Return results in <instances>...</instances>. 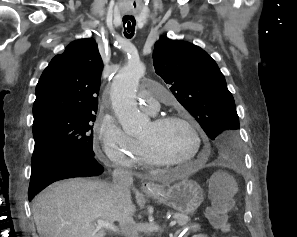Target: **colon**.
<instances>
[{
	"mask_svg": "<svg viewBox=\"0 0 297 237\" xmlns=\"http://www.w3.org/2000/svg\"><path fill=\"white\" fill-rule=\"evenodd\" d=\"M234 193L235 185L227 174L219 173L212 178L211 197L213 204L208 209L207 216L216 230L225 233L230 231L227 212L232 208Z\"/></svg>",
	"mask_w": 297,
	"mask_h": 237,
	"instance_id": "obj_1",
	"label": "colon"
}]
</instances>
